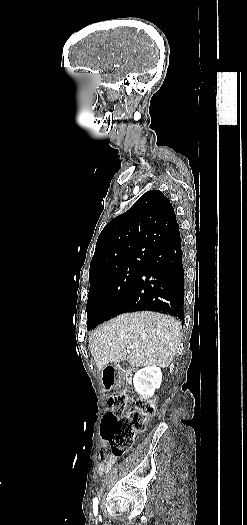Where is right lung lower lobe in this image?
Returning <instances> with one entry per match:
<instances>
[{
	"instance_id": "1",
	"label": "right lung lower lobe",
	"mask_w": 247,
	"mask_h": 525,
	"mask_svg": "<svg viewBox=\"0 0 247 525\" xmlns=\"http://www.w3.org/2000/svg\"><path fill=\"white\" fill-rule=\"evenodd\" d=\"M182 240L178 230L144 257V266L115 311L150 310L183 319L184 269Z\"/></svg>"
}]
</instances>
